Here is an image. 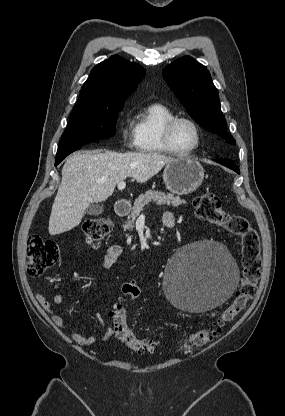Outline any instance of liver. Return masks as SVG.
Returning a JSON list of instances; mask_svg holds the SVG:
<instances>
[{
	"instance_id": "obj_1",
	"label": "liver",
	"mask_w": 285,
	"mask_h": 416,
	"mask_svg": "<svg viewBox=\"0 0 285 416\" xmlns=\"http://www.w3.org/2000/svg\"><path fill=\"white\" fill-rule=\"evenodd\" d=\"M173 160L170 156L140 152H76L63 166L51 210L49 234L56 236L79 226L90 204L105 202L119 182L133 178L138 184H144Z\"/></svg>"
}]
</instances>
